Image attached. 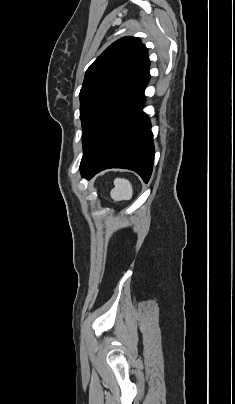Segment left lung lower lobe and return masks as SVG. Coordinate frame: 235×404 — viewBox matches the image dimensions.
<instances>
[{
  "instance_id": "1",
  "label": "left lung lower lobe",
  "mask_w": 235,
  "mask_h": 404,
  "mask_svg": "<svg viewBox=\"0 0 235 404\" xmlns=\"http://www.w3.org/2000/svg\"><path fill=\"white\" fill-rule=\"evenodd\" d=\"M150 78L101 126L85 150L80 171L92 178L107 168L130 169L147 183L152 173L154 145L151 124L142 111Z\"/></svg>"
}]
</instances>
